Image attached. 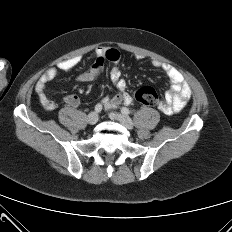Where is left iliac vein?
<instances>
[{"label": "left iliac vein", "mask_w": 232, "mask_h": 232, "mask_svg": "<svg viewBox=\"0 0 232 232\" xmlns=\"http://www.w3.org/2000/svg\"><path fill=\"white\" fill-rule=\"evenodd\" d=\"M109 116H110L111 119L119 121L127 129H131L133 127V121L131 120L130 117H128L125 114L110 113Z\"/></svg>", "instance_id": "4c4485c4"}]
</instances>
